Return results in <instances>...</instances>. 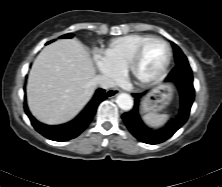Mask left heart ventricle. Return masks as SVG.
<instances>
[{"mask_svg":"<svg viewBox=\"0 0 222 187\" xmlns=\"http://www.w3.org/2000/svg\"><path fill=\"white\" fill-rule=\"evenodd\" d=\"M168 57V49L159 41L151 42L144 50L143 56L137 68V74L142 78H151L165 65Z\"/></svg>","mask_w":222,"mask_h":187,"instance_id":"b2bd125f","label":"left heart ventricle"}]
</instances>
